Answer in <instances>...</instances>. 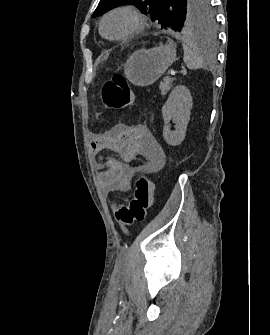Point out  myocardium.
I'll list each match as a JSON object with an SVG mask.
<instances>
[{
	"label": "myocardium",
	"instance_id": "myocardium-1",
	"mask_svg": "<svg viewBox=\"0 0 270 335\" xmlns=\"http://www.w3.org/2000/svg\"><path fill=\"white\" fill-rule=\"evenodd\" d=\"M118 13H124V14L130 15L135 20L136 25L131 31L127 32L126 34L121 35L119 37L112 38V37H109L105 33L104 26H105L106 21L112 15L118 14ZM146 25H147V18L141 12H139L135 8H132L129 6H123V7H118V8L111 10L102 18L100 22V32L106 39H109V40H113V41L125 40L143 31ZM129 78H139V77H129Z\"/></svg>",
	"mask_w": 270,
	"mask_h": 335
}]
</instances>
